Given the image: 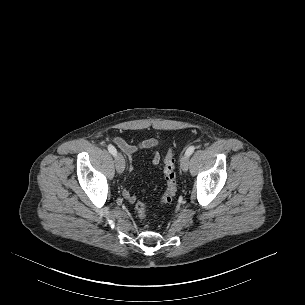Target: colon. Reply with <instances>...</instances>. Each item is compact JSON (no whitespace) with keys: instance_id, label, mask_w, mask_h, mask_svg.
<instances>
[{"instance_id":"5ec220e1","label":"colon","mask_w":305,"mask_h":305,"mask_svg":"<svg viewBox=\"0 0 305 305\" xmlns=\"http://www.w3.org/2000/svg\"><path fill=\"white\" fill-rule=\"evenodd\" d=\"M164 176L166 181V190L160 200L162 205L169 204L173 201L177 192V180L175 173V158L174 152L170 149L164 159ZM135 209L139 217L145 218L147 215V204L144 201H138Z\"/></svg>"}]
</instances>
